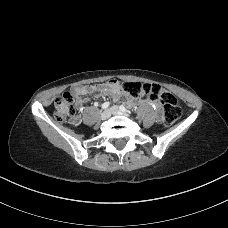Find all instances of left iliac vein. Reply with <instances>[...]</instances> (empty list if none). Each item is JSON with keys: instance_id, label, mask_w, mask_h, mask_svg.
<instances>
[{"instance_id": "obj_1", "label": "left iliac vein", "mask_w": 228, "mask_h": 228, "mask_svg": "<svg viewBox=\"0 0 228 228\" xmlns=\"http://www.w3.org/2000/svg\"><path fill=\"white\" fill-rule=\"evenodd\" d=\"M111 112L113 115H126L127 113L123 112L118 106L111 107Z\"/></svg>"}]
</instances>
